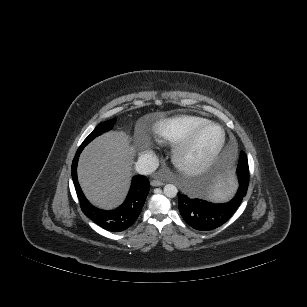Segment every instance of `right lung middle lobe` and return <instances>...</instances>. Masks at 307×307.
I'll use <instances>...</instances> for the list:
<instances>
[{"mask_svg":"<svg viewBox=\"0 0 307 307\" xmlns=\"http://www.w3.org/2000/svg\"><path fill=\"white\" fill-rule=\"evenodd\" d=\"M115 122V119L105 121L100 123L93 132L83 141L80 147L84 148L89 142H91L95 137L101 135L102 133L110 130Z\"/></svg>","mask_w":307,"mask_h":307,"instance_id":"1","label":"right lung middle lobe"}]
</instances>
